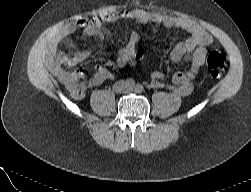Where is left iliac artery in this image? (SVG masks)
<instances>
[{"label": "left iliac artery", "mask_w": 251, "mask_h": 192, "mask_svg": "<svg viewBox=\"0 0 251 192\" xmlns=\"http://www.w3.org/2000/svg\"><path fill=\"white\" fill-rule=\"evenodd\" d=\"M135 90H136L137 92H142V91H143V86L140 85V84H137L136 87H135Z\"/></svg>", "instance_id": "1"}]
</instances>
